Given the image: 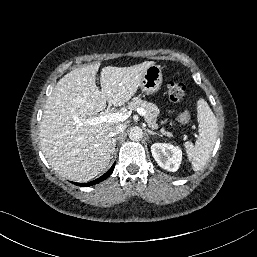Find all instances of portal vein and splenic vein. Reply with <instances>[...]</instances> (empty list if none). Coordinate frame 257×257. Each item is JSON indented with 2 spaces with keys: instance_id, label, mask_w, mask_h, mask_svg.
Wrapping results in <instances>:
<instances>
[{
  "instance_id": "portal-vein-and-splenic-vein-1",
  "label": "portal vein and splenic vein",
  "mask_w": 257,
  "mask_h": 257,
  "mask_svg": "<svg viewBox=\"0 0 257 257\" xmlns=\"http://www.w3.org/2000/svg\"><path fill=\"white\" fill-rule=\"evenodd\" d=\"M138 114L141 116H145L146 111L143 108H137L136 109ZM130 115V112L128 113H122V112H114V113H107L104 115H100L98 117H93L86 121V124L88 125H97L104 122H122L126 120Z\"/></svg>"
}]
</instances>
